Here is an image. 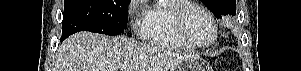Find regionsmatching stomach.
Masks as SVG:
<instances>
[{
	"mask_svg": "<svg viewBox=\"0 0 301 71\" xmlns=\"http://www.w3.org/2000/svg\"><path fill=\"white\" fill-rule=\"evenodd\" d=\"M170 71H212L210 64L199 56H190Z\"/></svg>",
	"mask_w": 301,
	"mask_h": 71,
	"instance_id": "stomach-1",
	"label": "stomach"
}]
</instances>
